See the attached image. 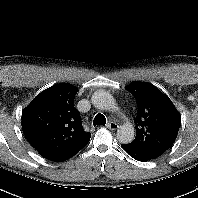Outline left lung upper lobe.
Listing matches in <instances>:
<instances>
[{"instance_id":"obj_1","label":"left lung upper lobe","mask_w":198,"mask_h":198,"mask_svg":"<svg viewBox=\"0 0 198 198\" xmlns=\"http://www.w3.org/2000/svg\"><path fill=\"white\" fill-rule=\"evenodd\" d=\"M126 89L138 104L136 137L127 145L162 155L175 142L181 124L179 113L168 97L151 84L134 81Z\"/></svg>"}]
</instances>
